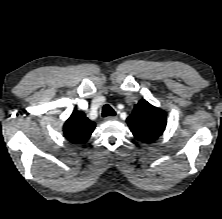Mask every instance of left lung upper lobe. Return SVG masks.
I'll use <instances>...</instances> for the list:
<instances>
[{
    "label": "left lung upper lobe",
    "instance_id": "5c2ea615",
    "mask_svg": "<svg viewBox=\"0 0 222 219\" xmlns=\"http://www.w3.org/2000/svg\"><path fill=\"white\" fill-rule=\"evenodd\" d=\"M128 126L135 138L142 142L157 139L166 126V112L141 100L127 118Z\"/></svg>",
    "mask_w": 222,
    "mask_h": 219
}]
</instances>
